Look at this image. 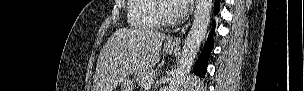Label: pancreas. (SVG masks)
I'll use <instances>...</instances> for the list:
<instances>
[{"instance_id":"1","label":"pancreas","mask_w":304,"mask_h":91,"mask_svg":"<svg viewBox=\"0 0 304 91\" xmlns=\"http://www.w3.org/2000/svg\"><path fill=\"white\" fill-rule=\"evenodd\" d=\"M155 77L156 72L154 70H146L137 75L136 82L139 87L146 90V86L150 85Z\"/></svg>"}]
</instances>
